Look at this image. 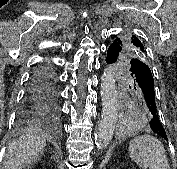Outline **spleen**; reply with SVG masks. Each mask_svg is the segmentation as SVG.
Returning <instances> with one entry per match:
<instances>
[{
    "instance_id": "spleen-1",
    "label": "spleen",
    "mask_w": 177,
    "mask_h": 169,
    "mask_svg": "<svg viewBox=\"0 0 177 169\" xmlns=\"http://www.w3.org/2000/svg\"><path fill=\"white\" fill-rule=\"evenodd\" d=\"M131 159L144 169H170L161 141L151 135H142L129 143Z\"/></svg>"
}]
</instances>
